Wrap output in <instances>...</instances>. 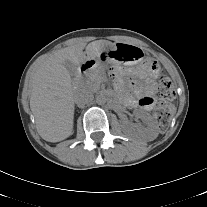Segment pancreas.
I'll list each match as a JSON object with an SVG mask.
<instances>
[{"label": "pancreas", "mask_w": 207, "mask_h": 207, "mask_svg": "<svg viewBox=\"0 0 207 207\" xmlns=\"http://www.w3.org/2000/svg\"><path fill=\"white\" fill-rule=\"evenodd\" d=\"M103 79V70L102 68H96L90 72L86 80L82 83L84 89L90 91H96L99 88V84Z\"/></svg>", "instance_id": "obj_1"}]
</instances>
